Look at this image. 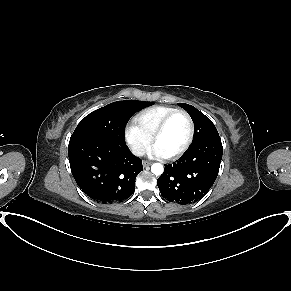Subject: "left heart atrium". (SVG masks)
Segmentation results:
<instances>
[{
	"label": "left heart atrium",
	"mask_w": 291,
	"mask_h": 291,
	"mask_svg": "<svg viewBox=\"0 0 291 291\" xmlns=\"http://www.w3.org/2000/svg\"><path fill=\"white\" fill-rule=\"evenodd\" d=\"M149 153L160 158H165L167 156L157 145L151 147Z\"/></svg>",
	"instance_id": "1"
}]
</instances>
